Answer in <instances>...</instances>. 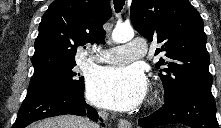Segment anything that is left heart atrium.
I'll list each match as a JSON object with an SVG mask.
<instances>
[{"mask_svg": "<svg viewBox=\"0 0 221 128\" xmlns=\"http://www.w3.org/2000/svg\"><path fill=\"white\" fill-rule=\"evenodd\" d=\"M87 93L96 105L117 111L138 107L146 94V78L137 66L107 67L88 77Z\"/></svg>", "mask_w": 221, "mask_h": 128, "instance_id": "39dd6f15", "label": "left heart atrium"}]
</instances>
